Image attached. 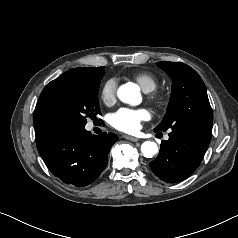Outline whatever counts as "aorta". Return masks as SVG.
Masks as SVG:
<instances>
[{
  "label": "aorta",
  "instance_id": "aorta-1",
  "mask_svg": "<svg viewBox=\"0 0 238 238\" xmlns=\"http://www.w3.org/2000/svg\"><path fill=\"white\" fill-rule=\"evenodd\" d=\"M118 98L128 104H137L140 100L138 87L132 83H126L119 87L117 91ZM141 152L144 157L152 158L158 152V146L153 141H145L141 145Z\"/></svg>",
  "mask_w": 238,
  "mask_h": 238
}]
</instances>
